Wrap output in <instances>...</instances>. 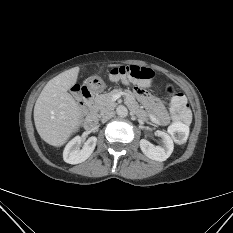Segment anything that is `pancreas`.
Wrapping results in <instances>:
<instances>
[{
  "label": "pancreas",
  "instance_id": "obj_1",
  "mask_svg": "<svg viewBox=\"0 0 233 233\" xmlns=\"http://www.w3.org/2000/svg\"><path fill=\"white\" fill-rule=\"evenodd\" d=\"M119 93L124 94L126 96V99H128V100L132 101L133 103H135L134 99H133V95H132V93L130 91H128V90L122 91L121 89H114L109 93L100 94V95L96 96L95 103H94V106H93V111L96 114L99 113L100 115H102L107 111L113 110L117 105L113 101V96L116 95V94H119ZM134 113L136 114V116L140 120L145 121V122L148 121L145 111H143L141 109H135Z\"/></svg>",
  "mask_w": 233,
  "mask_h": 233
}]
</instances>
